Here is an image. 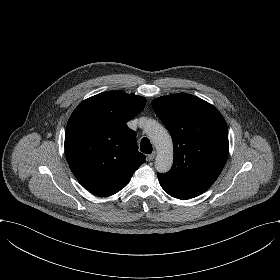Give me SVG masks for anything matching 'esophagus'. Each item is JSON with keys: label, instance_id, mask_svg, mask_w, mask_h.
Returning <instances> with one entry per match:
<instances>
[{"label": "esophagus", "instance_id": "1", "mask_svg": "<svg viewBox=\"0 0 280 280\" xmlns=\"http://www.w3.org/2000/svg\"><path fill=\"white\" fill-rule=\"evenodd\" d=\"M155 157H156V152L154 151L151 154L147 155V160L148 161H153Z\"/></svg>", "mask_w": 280, "mask_h": 280}]
</instances>
